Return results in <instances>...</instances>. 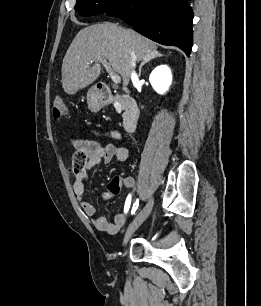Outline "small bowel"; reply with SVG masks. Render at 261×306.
I'll return each instance as SVG.
<instances>
[{
	"label": "small bowel",
	"mask_w": 261,
	"mask_h": 306,
	"mask_svg": "<svg viewBox=\"0 0 261 306\" xmlns=\"http://www.w3.org/2000/svg\"><path fill=\"white\" fill-rule=\"evenodd\" d=\"M73 145L76 150H85L87 152V159L81 168H76L73 161L71 162V175L73 177V190L80 202V206L84 213L91 219L93 226L107 234H116L126 223L129 217V208L125 212L116 214L113 221L109 222L105 217L96 215L94 205L85 200L86 180L88 172L100 163H108L112 158L119 162H123L128 158V149L122 145L113 143L101 144L93 140L82 138H74ZM135 180L133 177H126L124 179L114 178L108 185L106 192L107 196H112V192L119 193L121 187L133 188ZM131 204V203H130Z\"/></svg>",
	"instance_id": "obj_1"
}]
</instances>
